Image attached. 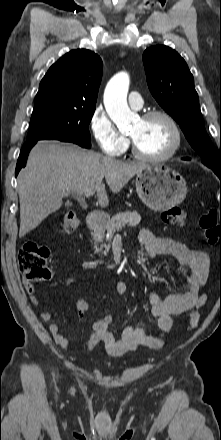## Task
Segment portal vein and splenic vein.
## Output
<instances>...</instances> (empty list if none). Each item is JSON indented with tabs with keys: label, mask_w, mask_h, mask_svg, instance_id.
Listing matches in <instances>:
<instances>
[{
	"label": "portal vein and splenic vein",
	"mask_w": 221,
	"mask_h": 440,
	"mask_svg": "<svg viewBox=\"0 0 221 440\" xmlns=\"http://www.w3.org/2000/svg\"><path fill=\"white\" fill-rule=\"evenodd\" d=\"M94 194V191H88L86 193H84V197H90Z\"/></svg>",
	"instance_id": "18ae733b"
}]
</instances>
